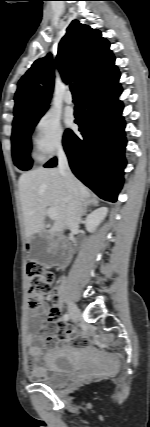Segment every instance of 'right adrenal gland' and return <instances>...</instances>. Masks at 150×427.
<instances>
[{"label":"right adrenal gland","mask_w":150,"mask_h":427,"mask_svg":"<svg viewBox=\"0 0 150 427\" xmlns=\"http://www.w3.org/2000/svg\"><path fill=\"white\" fill-rule=\"evenodd\" d=\"M89 206H98V201L95 199L84 200V208H83L82 216H85L87 214V209Z\"/></svg>","instance_id":"right-adrenal-gland-1"}]
</instances>
